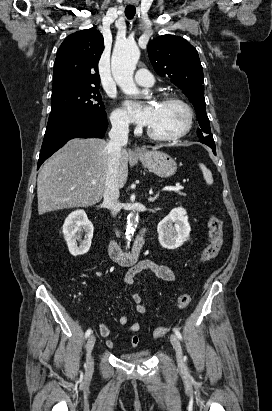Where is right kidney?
<instances>
[{
  "label": "right kidney",
  "instance_id": "right-kidney-1",
  "mask_svg": "<svg viewBox=\"0 0 272 411\" xmlns=\"http://www.w3.org/2000/svg\"><path fill=\"white\" fill-rule=\"evenodd\" d=\"M83 232L85 239L81 240ZM63 234L73 256L83 255L89 251L93 238V224L88 220L84 210H76L68 215L63 224ZM77 240L80 241L79 246Z\"/></svg>",
  "mask_w": 272,
  "mask_h": 411
}]
</instances>
